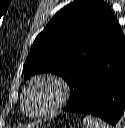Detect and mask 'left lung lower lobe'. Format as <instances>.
<instances>
[{
  "mask_svg": "<svg viewBox=\"0 0 125 128\" xmlns=\"http://www.w3.org/2000/svg\"><path fill=\"white\" fill-rule=\"evenodd\" d=\"M125 108V38L122 35L90 70L77 99L65 112L100 117L117 126Z\"/></svg>",
  "mask_w": 125,
  "mask_h": 128,
  "instance_id": "0a47b994",
  "label": "left lung lower lobe"
}]
</instances>
